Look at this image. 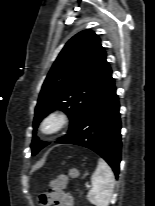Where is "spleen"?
Masks as SVG:
<instances>
[{"label": "spleen", "instance_id": "obj_1", "mask_svg": "<svg viewBox=\"0 0 155 206\" xmlns=\"http://www.w3.org/2000/svg\"><path fill=\"white\" fill-rule=\"evenodd\" d=\"M92 188L87 194L88 201L95 206H108L114 191V174L109 165L99 159L91 177Z\"/></svg>", "mask_w": 155, "mask_h": 206}]
</instances>
